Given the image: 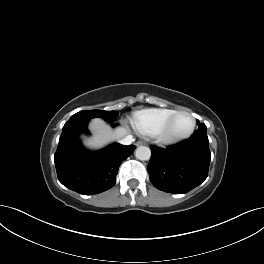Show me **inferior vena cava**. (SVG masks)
Returning a JSON list of instances; mask_svg holds the SVG:
<instances>
[{"mask_svg": "<svg viewBox=\"0 0 264 264\" xmlns=\"http://www.w3.org/2000/svg\"><path fill=\"white\" fill-rule=\"evenodd\" d=\"M134 141L132 135H127L123 139L120 140V143L123 145H130Z\"/></svg>", "mask_w": 264, "mask_h": 264, "instance_id": "inferior-vena-cava-1", "label": "inferior vena cava"}]
</instances>
